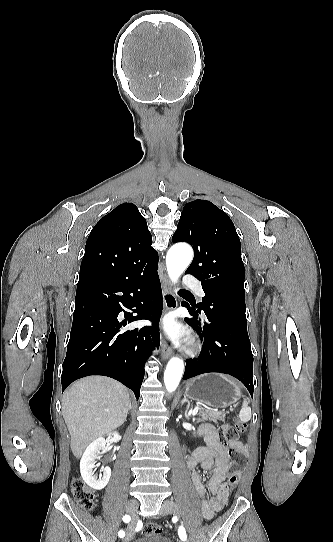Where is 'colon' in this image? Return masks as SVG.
Here are the masks:
<instances>
[{"label":"colon","instance_id":"colon-1","mask_svg":"<svg viewBox=\"0 0 333 542\" xmlns=\"http://www.w3.org/2000/svg\"><path fill=\"white\" fill-rule=\"evenodd\" d=\"M246 426L243 422H223L216 429V438L221 445L233 443L245 432ZM231 471L229 474V483L221 490L223 496H227L230 489L238 484L242 468L245 465L246 456L243 449H232L231 453ZM72 490L76 503L86 509H93L96 506V495L89 490L81 480L72 482ZM162 534V528L158 523L149 522L144 526L143 535L146 537H159Z\"/></svg>","mask_w":333,"mask_h":542}]
</instances>
